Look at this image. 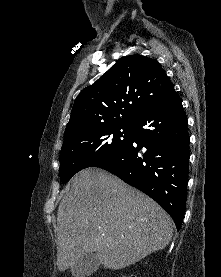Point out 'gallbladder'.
<instances>
[{
    "label": "gallbladder",
    "mask_w": 221,
    "mask_h": 277,
    "mask_svg": "<svg viewBox=\"0 0 221 277\" xmlns=\"http://www.w3.org/2000/svg\"><path fill=\"white\" fill-rule=\"evenodd\" d=\"M100 263L95 254L90 253L81 257L72 267L71 274L73 277H88L93 274L99 267Z\"/></svg>",
    "instance_id": "gallbladder-1"
}]
</instances>
